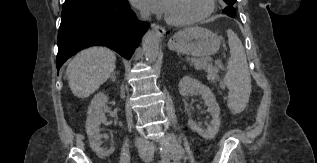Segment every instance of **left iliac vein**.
<instances>
[{
  "label": "left iliac vein",
  "instance_id": "1",
  "mask_svg": "<svg viewBox=\"0 0 317 163\" xmlns=\"http://www.w3.org/2000/svg\"><path fill=\"white\" fill-rule=\"evenodd\" d=\"M173 159H174V160H177V157L173 155Z\"/></svg>",
  "mask_w": 317,
  "mask_h": 163
}]
</instances>
